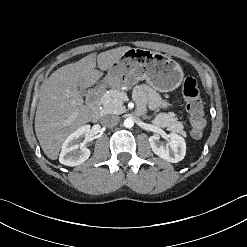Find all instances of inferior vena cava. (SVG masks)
Listing matches in <instances>:
<instances>
[{
    "label": "inferior vena cava",
    "instance_id": "1",
    "mask_svg": "<svg viewBox=\"0 0 247 247\" xmlns=\"http://www.w3.org/2000/svg\"><path fill=\"white\" fill-rule=\"evenodd\" d=\"M101 124L106 127H114L119 123V117L116 115H105L100 120Z\"/></svg>",
    "mask_w": 247,
    "mask_h": 247
}]
</instances>
